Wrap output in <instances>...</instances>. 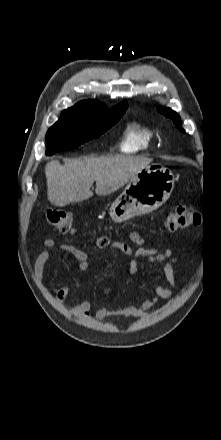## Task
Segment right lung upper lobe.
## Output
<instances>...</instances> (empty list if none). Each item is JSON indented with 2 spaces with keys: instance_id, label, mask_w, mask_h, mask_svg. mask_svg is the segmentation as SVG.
Listing matches in <instances>:
<instances>
[{
  "instance_id": "obj_1",
  "label": "right lung upper lobe",
  "mask_w": 221,
  "mask_h": 440,
  "mask_svg": "<svg viewBox=\"0 0 221 440\" xmlns=\"http://www.w3.org/2000/svg\"><path fill=\"white\" fill-rule=\"evenodd\" d=\"M127 102L124 101L117 106H115L113 109L119 110L127 107ZM98 109H106L105 105L97 100H85L81 101L78 104L74 105L71 108H68L67 110H98Z\"/></svg>"
}]
</instances>
